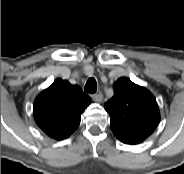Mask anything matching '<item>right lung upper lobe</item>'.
<instances>
[{"instance_id":"1","label":"right lung upper lobe","mask_w":184,"mask_h":174,"mask_svg":"<svg viewBox=\"0 0 184 174\" xmlns=\"http://www.w3.org/2000/svg\"><path fill=\"white\" fill-rule=\"evenodd\" d=\"M90 103V97L78 85L58 78L35 99L34 118L48 136L62 140L76 130Z\"/></svg>"}]
</instances>
